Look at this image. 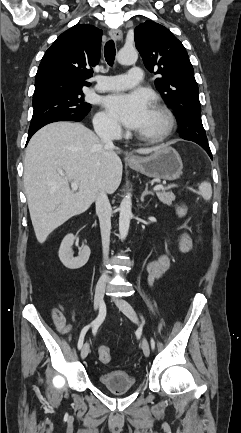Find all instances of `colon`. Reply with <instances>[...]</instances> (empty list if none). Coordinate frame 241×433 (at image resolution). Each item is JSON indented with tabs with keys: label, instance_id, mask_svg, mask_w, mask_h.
Here are the masks:
<instances>
[{
	"label": "colon",
	"instance_id": "1",
	"mask_svg": "<svg viewBox=\"0 0 241 433\" xmlns=\"http://www.w3.org/2000/svg\"><path fill=\"white\" fill-rule=\"evenodd\" d=\"M99 359L103 363H109L111 361V352L107 346H101L99 348Z\"/></svg>",
	"mask_w": 241,
	"mask_h": 433
}]
</instances>
